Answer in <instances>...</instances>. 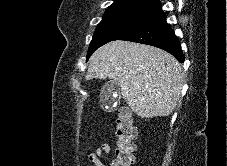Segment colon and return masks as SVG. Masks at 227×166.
<instances>
[{
  "label": "colon",
  "mask_w": 227,
  "mask_h": 166,
  "mask_svg": "<svg viewBox=\"0 0 227 166\" xmlns=\"http://www.w3.org/2000/svg\"><path fill=\"white\" fill-rule=\"evenodd\" d=\"M116 151L109 166L134 165L135 127L131 111L128 108L120 110L115 123Z\"/></svg>",
  "instance_id": "colon-1"
}]
</instances>
